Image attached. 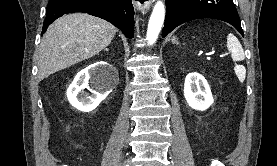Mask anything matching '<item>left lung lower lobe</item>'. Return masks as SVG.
I'll use <instances>...</instances> for the list:
<instances>
[{"label":"left lung lower lobe","instance_id":"1","mask_svg":"<svg viewBox=\"0 0 277 166\" xmlns=\"http://www.w3.org/2000/svg\"><path fill=\"white\" fill-rule=\"evenodd\" d=\"M166 6L163 38L177 26L202 18L228 22L244 36L233 0H166Z\"/></svg>","mask_w":277,"mask_h":166}]
</instances>
